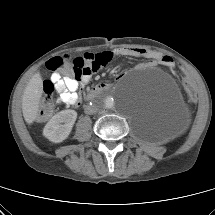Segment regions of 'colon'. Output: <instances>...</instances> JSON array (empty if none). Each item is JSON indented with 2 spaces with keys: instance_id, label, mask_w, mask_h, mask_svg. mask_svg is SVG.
Segmentation results:
<instances>
[{
  "instance_id": "5ec220e1",
  "label": "colon",
  "mask_w": 215,
  "mask_h": 215,
  "mask_svg": "<svg viewBox=\"0 0 215 215\" xmlns=\"http://www.w3.org/2000/svg\"><path fill=\"white\" fill-rule=\"evenodd\" d=\"M46 67L52 72H60L61 75L71 77L75 74L76 78H80L82 74L83 64L80 58L72 61H67L66 57L56 56L47 61ZM181 81V89L186 91V102L188 104H195L198 98V91L196 90L193 82L188 78V74L185 66L180 65L177 68ZM53 96H54V84L52 81H46L44 83L43 97L41 101L40 118L48 117L53 109Z\"/></svg>"
}]
</instances>
